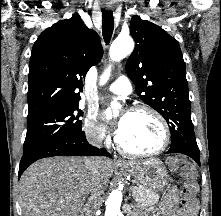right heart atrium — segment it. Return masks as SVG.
<instances>
[{"label": "right heart atrium", "mask_w": 221, "mask_h": 216, "mask_svg": "<svg viewBox=\"0 0 221 216\" xmlns=\"http://www.w3.org/2000/svg\"><path fill=\"white\" fill-rule=\"evenodd\" d=\"M84 132L87 139L92 143H103L108 139L105 127L93 113H89L84 120Z\"/></svg>", "instance_id": "1"}]
</instances>
